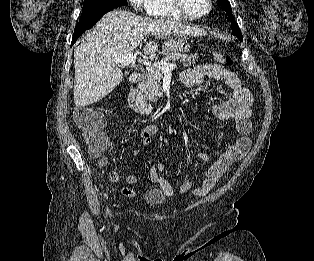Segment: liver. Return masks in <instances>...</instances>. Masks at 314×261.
<instances>
[{"label":"liver","mask_w":314,"mask_h":261,"mask_svg":"<svg viewBox=\"0 0 314 261\" xmlns=\"http://www.w3.org/2000/svg\"><path fill=\"white\" fill-rule=\"evenodd\" d=\"M150 34L164 39L174 34L198 36L200 32L177 21L147 19L125 10L105 14L74 50L75 105L88 106L113 91L123 79L113 59L132 52ZM157 49V44L148 42L144 53L152 54Z\"/></svg>","instance_id":"liver-1"}]
</instances>
